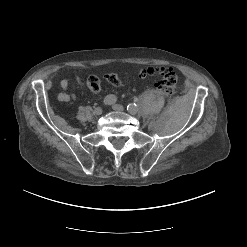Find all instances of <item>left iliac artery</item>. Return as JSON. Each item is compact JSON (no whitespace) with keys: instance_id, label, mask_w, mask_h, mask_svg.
<instances>
[{"instance_id":"44dca946","label":"left iliac artery","mask_w":247,"mask_h":247,"mask_svg":"<svg viewBox=\"0 0 247 247\" xmlns=\"http://www.w3.org/2000/svg\"><path fill=\"white\" fill-rule=\"evenodd\" d=\"M137 106L138 104L134 103H131L127 106V110L132 116H137L139 114V108Z\"/></svg>"}]
</instances>
